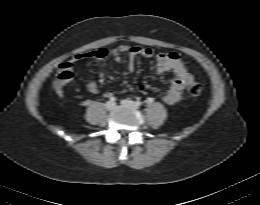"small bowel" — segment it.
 <instances>
[{
    "label": "small bowel",
    "mask_w": 260,
    "mask_h": 205,
    "mask_svg": "<svg viewBox=\"0 0 260 205\" xmlns=\"http://www.w3.org/2000/svg\"><path fill=\"white\" fill-rule=\"evenodd\" d=\"M96 54L99 58H105L110 55L117 62L122 60L123 54H128V70L130 72L135 69V60L137 57L151 58L155 56L157 73L172 72L174 75L168 90L163 96L164 102L168 105L177 103L180 100L185 87L192 81L191 74L185 68L181 56L176 52L158 53L155 55L154 51L149 47L121 44L109 52L105 49H100L96 51ZM83 56L84 55H77L60 65V68L52 81V88L58 97L64 98V89L66 85L74 80L77 64ZM86 88L92 94H97L99 92L97 84L91 79L86 81ZM139 91L141 93H146V86H139ZM113 93V91H107L105 95L111 96Z\"/></svg>",
    "instance_id": "c3829d8e"
}]
</instances>
